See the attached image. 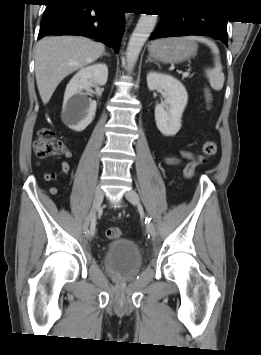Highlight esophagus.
Wrapping results in <instances>:
<instances>
[{"label": "esophagus", "instance_id": "34e87169", "mask_svg": "<svg viewBox=\"0 0 261 355\" xmlns=\"http://www.w3.org/2000/svg\"><path fill=\"white\" fill-rule=\"evenodd\" d=\"M126 18H128L129 14H125Z\"/></svg>", "mask_w": 261, "mask_h": 355}]
</instances>
